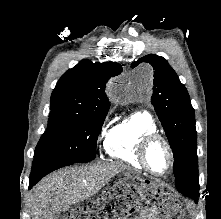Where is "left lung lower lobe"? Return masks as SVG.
<instances>
[{"instance_id":"left-lung-lower-lobe-1","label":"left lung lower lobe","mask_w":221,"mask_h":219,"mask_svg":"<svg viewBox=\"0 0 221 219\" xmlns=\"http://www.w3.org/2000/svg\"><path fill=\"white\" fill-rule=\"evenodd\" d=\"M191 198L194 199V201H195L196 203L198 202V195L192 196Z\"/></svg>"}]
</instances>
